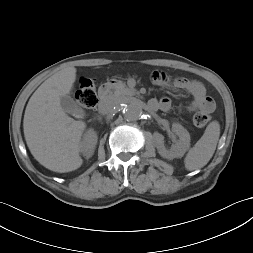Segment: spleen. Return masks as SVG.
Here are the masks:
<instances>
[{
  "label": "spleen",
  "mask_w": 253,
  "mask_h": 253,
  "mask_svg": "<svg viewBox=\"0 0 253 253\" xmlns=\"http://www.w3.org/2000/svg\"><path fill=\"white\" fill-rule=\"evenodd\" d=\"M220 137V124L212 121L206 127L203 136L192 147L184 162L185 168L189 171L204 167L212 158Z\"/></svg>",
  "instance_id": "obj_1"
}]
</instances>
